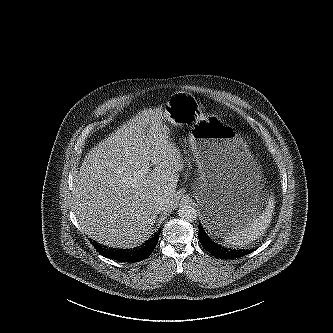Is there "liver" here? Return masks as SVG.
<instances>
[{"label":"liver","mask_w":333,"mask_h":333,"mask_svg":"<svg viewBox=\"0 0 333 333\" xmlns=\"http://www.w3.org/2000/svg\"><path fill=\"white\" fill-rule=\"evenodd\" d=\"M162 115L161 108L143 111L94 147L80 167L74 213L85 234L101 244L138 246L153 231L156 199H167L168 210L176 202L184 162L158 128Z\"/></svg>","instance_id":"6515ba94"}]
</instances>
